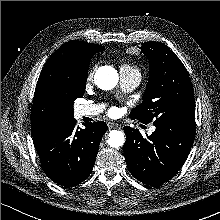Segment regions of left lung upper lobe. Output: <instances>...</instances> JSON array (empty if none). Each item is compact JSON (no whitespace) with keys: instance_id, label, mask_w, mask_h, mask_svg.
<instances>
[{"instance_id":"obj_1","label":"left lung upper lobe","mask_w":220,"mask_h":220,"mask_svg":"<svg viewBox=\"0 0 220 220\" xmlns=\"http://www.w3.org/2000/svg\"><path fill=\"white\" fill-rule=\"evenodd\" d=\"M149 59V80L143 102L130 117L147 124L179 119L195 123L194 91L181 60L161 42H145L140 47Z\"/></svg>"}]
</instances>
